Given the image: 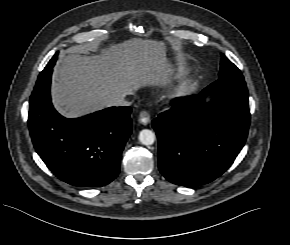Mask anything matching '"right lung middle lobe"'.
I'll list each match as a JSON object with an SVG mask.
<instances>
[{
    "label": "right lung middle lobe",
    "instance_id": "right-lung-middle-lobe-1",
    "mask_svg": "<svg viewBox=\"0 0 290 245\" xmlns=\"http://www.w3.org/2000/svg\"><path fill=\"white\" fill-rule=\"evenodd\" d=\"M58 53H56L53 58L49 61V63L47 64V66L49 67H53L55 62H56V58H57Z\"/></svg>",
    "mask_w": 290,
    "mask_h": 245
}]
</instances>
